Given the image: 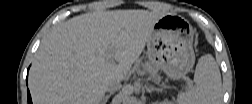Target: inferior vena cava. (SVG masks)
I'll return each instance as SVG.
<instances>
[{
  "label": "inferior vena cava",
  "mask_w": 252,
  "mask_h": 104,
  "mask_svg": "<svg viewBox=\"0 0 252 104\" xmlns=\"http://www.w3.org/2000/svg\"><path fill=\"white\" fill-rule=\"evenodd\" d=\"M121 88L120 80H111L106 85V91L110 93H114Z\"/></svg>",
  "instance_id": "602c4592"
}]
</instances>
